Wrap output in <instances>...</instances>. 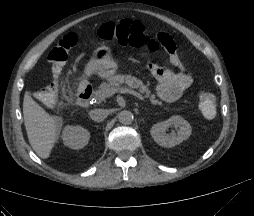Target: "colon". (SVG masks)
I'll use <instances>...</instances> for the list:
<instances>
[{
	"label": "colon",
	"instance_id": "5ec220e1",
	"mask_svg": "<svg viewBox=\"0 0 254 216\" xmlns=\"http://www.w3.org/2000/svg\"><path fill=\"white\" fill-rule=\"evenodd\" d=\"M98 35L104 40H115L121 45L145 47L151 52L166 51L161 44L154 40V36L146 34L143 24L138 21L124 20L118 23L107 22L100 26ZM77 44V36L74 33L65 35L49 52L48 61L51 65L53 82L44 90L37 93V97L46 106H53L59 97L57 80L68 61L72 49ZM199 109L208 119L215 117L217 113V100L214 94L202 90L198 95Z\"/></svg>",
	"mask_w": 254,
	"mask_h": 216
}]
</instances>
